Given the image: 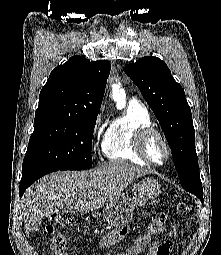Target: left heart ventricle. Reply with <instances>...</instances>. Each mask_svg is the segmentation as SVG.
<instances>
[{
  "label": "left heart ventricle",
  "instance_id": "1",
  "mask_svg": "<svg viewBox=\"0 0 221 255\" xmlns=\"http://www.w3.org/2000/svg\"><path fill=\"white\" fill-rule=\"evenodd\" d=\"M147 153L153 162L161 163L165 160L166 150L161 140L153 136L147 143Z\"/></svg>",
  "mask_w": 221,
  "mask_h": 255
}]
</instances>
